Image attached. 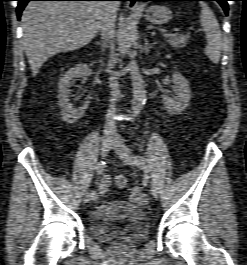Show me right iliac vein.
<instances>
[{
    "instance_id": "right-iliac-vein-1",
    "label": "right iliac vein",
    "mask_w": 247,
    "mask_h": 265,
    "mask_svg": "<svg viewBox=\"0 0 247 265\" xmlns=\"http://www.w3.org/2000/svg\"><path fill=\"white\" fill-rule=\"evenodd\" d=\"M113 140L110 138H106L102 141L101 144V156L102 157H106L108 155V153L110 152L112 146H113ZM89 195L88 193L85 194L84 196V201L87 202L89 200Z\"/></svg>"
}]
</instances>
